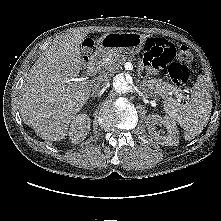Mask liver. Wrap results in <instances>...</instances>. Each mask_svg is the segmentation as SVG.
<instances>
[{
	"instance_id": "6515ba94",
	"label": "liver",
	"mask_w": 221,
	"mask_h": 221,
	"mask_svg": "<svg viewBox=\"0 0 221 221\" xmlns=\"http://www.w3.org/2000/svg\"><path fill=\"white\" fill-rule=\"evenodd\" d=\"M87 32L61 35L47 46L23 84L21 115L43 139L58 141L89 99L97 81L78 78L82 70L80 44Z\"/></svg>"
}]
</instances>
